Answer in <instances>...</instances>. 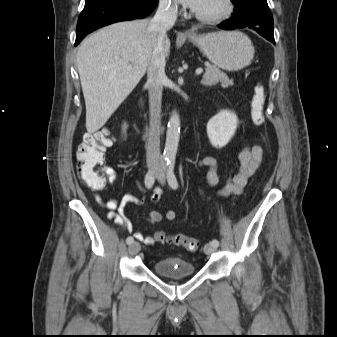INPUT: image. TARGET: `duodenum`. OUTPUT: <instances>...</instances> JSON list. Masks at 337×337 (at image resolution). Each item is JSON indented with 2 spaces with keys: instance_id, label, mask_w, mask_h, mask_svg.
Instances as JSON below:
<instances>
[{
  "instance_id": "1",
  "label": "duodenum",
  "mask_w": 337,
  "mask_h": 337,
  "mask_svg": "<svg viewBox=\"0 0 337 337\" xmlns=\"http://www.w3.org/2000/svg\"><path fill=\"white\" fill-rule=\"evenodd\" d=\"M145 137H148V134H147V133H145Z\"/></svg>"
}]
</instances>
